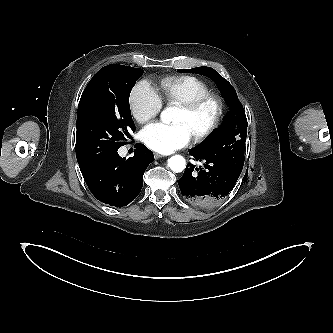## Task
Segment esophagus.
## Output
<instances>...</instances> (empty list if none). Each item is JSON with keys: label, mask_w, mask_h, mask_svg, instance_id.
<instances>
[{"label": "esophagus", "mask_w": 333, "mask_h": 333, "mask_svg": "<svg viewBox=\"0 0 333 333\" xmlns=\"http://www.w3.org/2000/svg\"><path fill=\"white\" fill-rule=\"evenodd\" d=\"M154 157H155V159H159V158H162L164 156L162 154H159V153H154Z\"/></svg>", "instance_id": "1"}]
</instances>
